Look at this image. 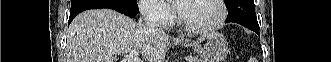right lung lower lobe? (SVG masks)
Returning <instances> with one entry per match:
<instances>
[{"mask_svg": "<svg viewBox=\"0 0 331 62\" xmlns=\"http://www.w3.org/2000/svg\"><path fill=\"white\" fill-rule=\"evenodd\" d=\"M100 8H109V9H113V10H116L120 13H123L131 18L135 17L136 14L134 13H131L129 11H126V10H123L119 7H115V6H111V5H85V6H81V7H78V8H75V9H72L70 10V17H69V22L68 24L71 23V21L79 14L81 13L82 11H85V10H89V9H100Z\"/></svg>", "mask_w": 331, "mask_h": 62, "instance_id": "1", "label": "right lung lower lobe"}]
</instances>
